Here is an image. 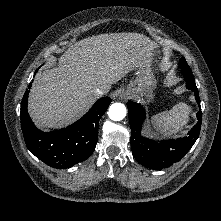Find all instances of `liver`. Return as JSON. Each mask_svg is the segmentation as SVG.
I'll return each instance as SVG.
<instances>
[{"label":"liver","instance_id":"6515ba94","mask_svg":"<svg viewBox=\"0 0 221 221\" xmlns=\"http://www.w3.org/2000/svg\"><path fill=\"white\" fill-rule=\"evenodd\" d=\"M155 45L148 37L130 32L74 43L57 67L36 76L28 100L31 118L42 129L72 123L95 102L97 88L106 94L130 71L150 67Z\"/></svg>","mask_w":221,"mask_h":221}]
</instances>
